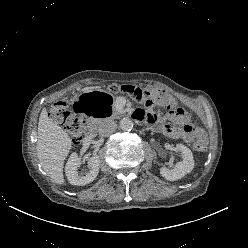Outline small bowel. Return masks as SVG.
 <instances>
[{
  "instance_id": "1",
  "label": "small bowel",
  "mask_w": 248,
  "mask_h": 248,
  "mask_svg": "<svg viewBox=\"0 0 248 248\" xmlns=\"http://www.w3.org/2000/svg\"><path fill=\"white\" fill-rule=\"evenodd\" d=\"M139 120H145L154 128L162 131L165 135L174 138L182 139L187 143H191L194 140H206V133L188 122V117L179 118L173 116L174 120L182 124V128H177L169 124H161L157 115L153 113H147L142 109L136 111Z\"/></svg>"
}]
</instances>
